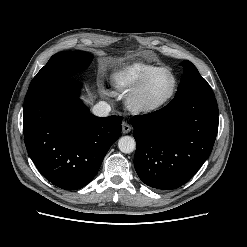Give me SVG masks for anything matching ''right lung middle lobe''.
<instances>
[{"label": "right lung middle lobe", "instance_id": "dd1d6c3e", "mask_svg": "<svg viewBox=\"0 0 247 247\" xmlns=\"http://www.w3.org/2000/svg\"><path fill=\"white\" fill-rule=\"evenodd\" d=\"M92 54L84 51H63L53 55L31 81L29 88L40 84L69 78L91 63Z\"/></svg>", "mask_w": 247, "mask_h": 247}]
</instances>
